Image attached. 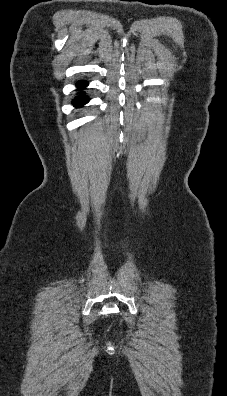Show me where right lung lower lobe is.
I'll return each mask as SVG.
<instances>
[{
    "label": "right lung lower lobe",
    "mask_w": 227,
    "mask_h": 396,
    "mask_svg": "<svg viewBox=\"0 0 227 396\" xmlns=\"http://www.w3.org/2000/svg\"><path fill=\"white\" fill-rule=\"evenodd\" d=\"M87 85H88V82L84 81V80L77 82V87L79 88V90H81L82 87H85ZM88 101H89V98L84 93H81L79 96H77L73 100L72 104L76 107H80V106L86 104Z\"/></svg>",
    "instance_id": "obj_1"
}]
</instances>
